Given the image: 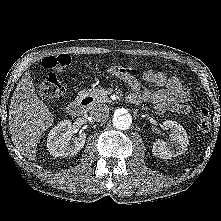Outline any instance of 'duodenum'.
I'll return each instance as SVG.
<instances>
[{
    "label": "duodenum",
    "instance_id": "obj_1",
    "mask_svg": "<svg viewBox=\"0 0 221 221\" xmlns=\"http://www.w3.org/2000/svg\"><path fill=\"white\" fill-rule=\"evenodd\" d=\"M93 98L90 95H84L79 99L72 101L67 106V112L72 117H79L84 112L86 106L93 103Z\"/></svg>",
    "mask_w": 221,
    "mask_h": 221
}]
</instances>
